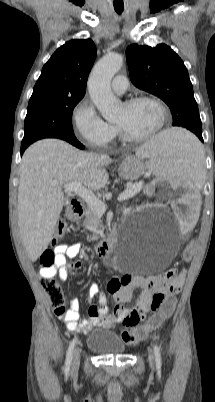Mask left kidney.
<instances>
[{"label":"left kidney","instance_id":"obj_1","mask_svg":"<svg viewBox=\"0 0 215 402\" xmlns=\"http://www.w3.org/2000/svg\"><path fill=\"white\" fill-rule=\"evenodd\" d=\"M154 184L146 187L149 193H160L161 200H172L174 209L181 214V229L184 232H194V222L200 221V201L195 185L189 184L184 178L174 176H159ZM184 237V234H181Z\"/></svg>","mask_w":215,"mask_h":402}]
</instances>
